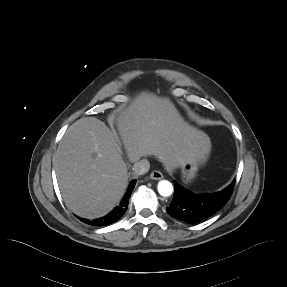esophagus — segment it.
Wrapping results in <instances>:
<instances>
[{
  "instance_id": "obj_1",
  "label": "esophagus",
  "mask_w": 287,
  "mask_h": 287,
  "mask_svg": "<svg viewBox=\"0 0 287 287\" xmlns=\"http://www.w3.org/2000/svg\"><path fill=\"white\" fill-rule=\"evenodd\" d=\"M150 177L154 180H160L163 178V174L160 171L155 170L150 174Z\"/></svg>"
}]
</instances>
